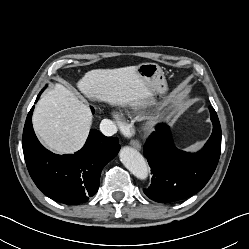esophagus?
Returning <instances> with one entry per match:
<instances>
[{
  "label": "esophagus",
  "instance_id": "1",
  "mask_svg": "<svg viewBox=\"0 0 249 249\" xmlns=\"http://www.w3.org/2000/svg\"><path fill=\"white\" fill-rule=\"evenodd\" d=\"M130 145L132 146V147H134L135 149H137V150H140L141 149V144H140V142L138 141V140H131L130 141Z\"/></svg>",
  "mask_w": 249,
  "mask_h": 249
}]
</instances>
